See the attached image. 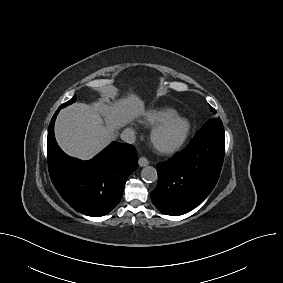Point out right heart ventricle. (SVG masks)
<instances>
[{
    "mask_svg": "<svg viewBox=\"0 0 283 283\" xmlns=\"http://www.w3.org/2000/svg\"><path fill=\"white\" fill-rule=\"evenodd\" d=\"M176 111L170 108L150 109L143 116V123L148 127H154L164 119L175 115Z\"/></svg>",
    "mask_w": 283,
    "mask_h": 283,
    "instance_id": "e07e8e85",
    "label": "right heart ventricle"
}]
</instances>
